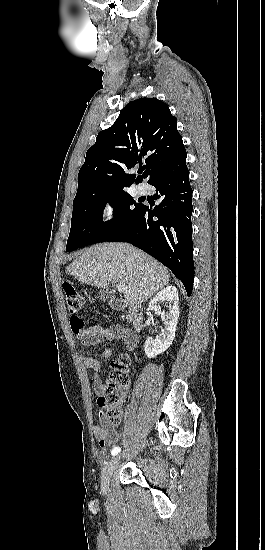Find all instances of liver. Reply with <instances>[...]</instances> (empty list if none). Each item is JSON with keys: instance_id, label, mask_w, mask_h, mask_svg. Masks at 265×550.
Wrapping results in <instances>:
<instances>
[{"instance_id": "liver-1", "label": "liver", "mask_w": 265, "mask_h": 550, "mask_svg": "<svg viewBox=\"0 0 265 550\" xmlns=\"http://www.w3.org/2000/svg\"><path fill=\"white\" fill-rule=\"evenodd\" d=\"M78 281L98 288L110 283L126 287L124 298L140 304L169 282V270L128 243H101L85 249L66 268Z\"/></svg>"}]
</instances>
